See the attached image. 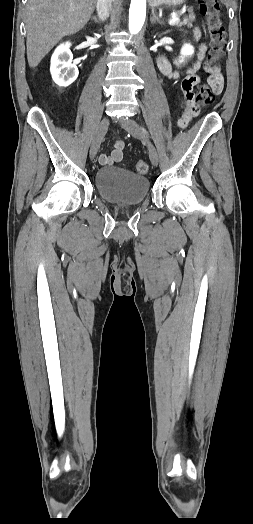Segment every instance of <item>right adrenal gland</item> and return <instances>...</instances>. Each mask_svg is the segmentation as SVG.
Wrapping results in <instances>:
<instances>
[{"label": "right adrenal gland", "mask_w": 253, "mask_h": 524, "mask_svg": "<svg viewBox=\"0 0 253 524\" xmlns=\"http://www.w3.org/2000/svg\"><path fill=\"white\" fill-rule=\"evenodd\" d=\"M91 19H92L95 23H99V20H98L95 16H92Z\"/></svg>", "instance_id": "right-adrenal-gland-1"}]
</instances>
